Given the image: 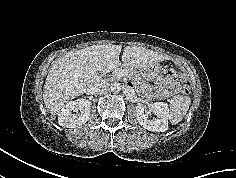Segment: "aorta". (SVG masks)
I'll use <instances>...</instances> for the list:
<instances>
[{
  "label": "aorta",
  "instance_id": "obj_1",
  "mask_svg": "<svg viewBox=\"0 0 236 178\" xmlns=\"http://www.w3.org/2000/svg\"><path fill=\"white\" fill-rule=\"evenodd\" d=\"M110 88L113 93H119L122 89V86L120 83L114 82L113 84H111Z\"/></svg>",
  "mask_w": 236,
  "mask_h": 178
}]
</instances>
